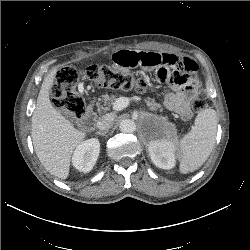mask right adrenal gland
<instances>
[{
  "label": "right adrenal gland",
  "mask_w": 250,
  "mask_h": 250,
  "mask_svg": "<svg viewBox=\"0 0 250 250\" xmlns=\"http://www.w3.org/2000/svg\"><path fill=\"white\" fill-rule=\"evenodd\" d=\"M107 132H108V131H104V132L98 131V132H96V134H97V135H102V136H104V135L107 134Z\"/></svg>",
  "instance_id": "obj_1"
}]
</instances>
